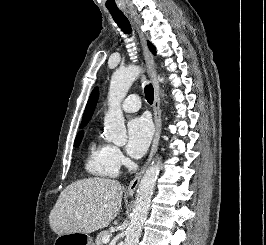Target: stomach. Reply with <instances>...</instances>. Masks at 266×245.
Returning <instances> with one entry per match:
<instances>
[{
  "mask_svg": "<svg viewBox=\"0 0 266 245\" xmlns=\"http://www.w3.org/2000/svg\"><path fill=\"white\" fill-rule=\"evenodd\" d=\"M131 197V195H127ZM59 242H71V245H94L88 233H57Z\"/></svg>",
  "mask_w": 266,
  "mask_h": 245,
  "instance_id": "obj_1",
  "label": "stomach"
}]
</instances>
